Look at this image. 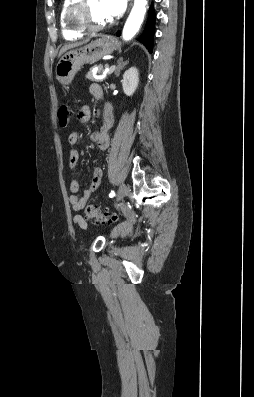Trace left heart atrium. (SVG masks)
<instances>
[{"label": "left heart atrium", "mask_w": 254, "mask_h": 397, "mask_svg": "<svg viewBox=\"0 0 254 397\" xmlns=\"http://www.w3.org/2000/svg\"><path fill=\"white\" fill-rule=\"evenodd\" d=\"M100 4L103 13L110 20L124 12L127 0H100Z\"/></svg>", "instance_id": "obj_1"}]
</instances>
